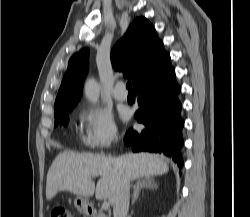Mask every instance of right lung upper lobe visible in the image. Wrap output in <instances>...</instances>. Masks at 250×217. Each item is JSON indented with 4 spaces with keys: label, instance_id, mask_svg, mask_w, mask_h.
Returning a JSON list of instances; mask_svg holds the SVG:
<instances>
[{
    "label": "right lung upper lobe",
    "instance_id": "obj_1",
    "mask_svg": "<svg viewBox=\"0 0 250 217\" xmlns=\"http://www.w3.org/2000/svg\"><path fill=\"white\" fill-rule=\"evenodd\" d=\"M167 55L154 27L146 18L140 17L131 23L113 47L111 61L114 69L125 71V76L133 79L135 86L154 71ZM88 56L89 50L85 48L70 58L55 100V115L71 111L80 99L88 71Z\"/></svg>",
    "mask_w": 250,
    "mask_h": 217
}]
</instances>
